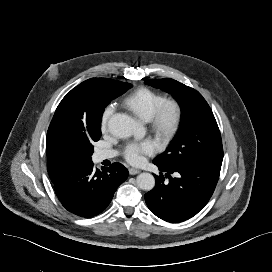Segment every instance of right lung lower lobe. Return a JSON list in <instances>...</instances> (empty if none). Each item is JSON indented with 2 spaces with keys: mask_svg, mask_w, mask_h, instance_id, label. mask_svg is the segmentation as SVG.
<instances>
[{
  "mask_svg": "<svg viewBox=\"0 0 272 272\" xmlns=\"http://www.w3.org/2000/svg\"><path fill=\"white\" fill-rule=\"evenodd\" d=\"M127 177L128 170L120 163H113L100 171L94 169L91 160L80 164L71 176L54 184V189L69 212L93 217L106 209L116 189Z\"/></svg>",
  "mask_w": 272,
  "mask_h": 272,
  "instance_id": "right-lung-lower-lobe-1",
  "label": "right lung lower lobe"
}]
</instances>
